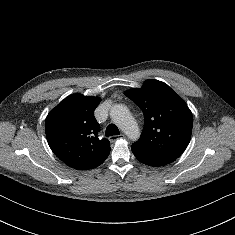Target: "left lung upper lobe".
<instances>
[{
    "label": "left lung upper lobe",
    "instance_id": "5c2ea615",
    "mask_svg": "<svg viewBox=\"0 0 235 235\" xmlns=\"http://www.w3.org/2000/svg\"><path fill=\"white\" fill-rule=\"evenodd\" d=\"M125 95L143 111L144 128L140 139L132 144L142 151L179 157L188 146L193 117L185 101L167 84L146 80L140 89Z\"/></svg>",
    "mask_w": 235,
    "mask_h": 235
}]
</instances>
